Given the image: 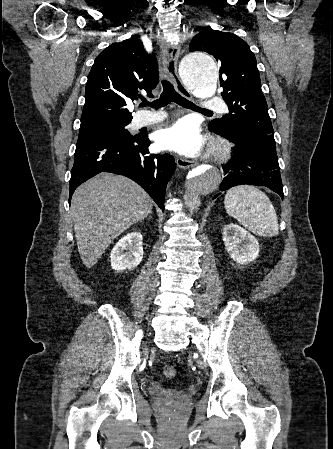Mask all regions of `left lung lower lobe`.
<instances>
[{
    "label": "left lung lower lobe",
    "instance_id": "left-lung-lower-lobe-1",
    "mask_svg": "<svg viewBox=\"0 0 333 449\" xmlns=\"http://www.w3.org/2000/svg\"><path fill=\"white\" fill-rule=\"evenodd\" d=\"M219 135L227 138L222 134ZM230 141L236 145L235 152L232 159L223 166L225 177L221 183V190H227L236 185L251 184L266 186L283 198V185L276 151L249 141ZM217 196L219 194L214 198Z\"/></svg>",
    "mask_w": 333,
    "mask_h": 449
}]
</instances>
